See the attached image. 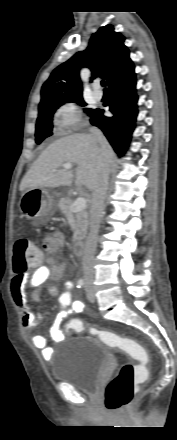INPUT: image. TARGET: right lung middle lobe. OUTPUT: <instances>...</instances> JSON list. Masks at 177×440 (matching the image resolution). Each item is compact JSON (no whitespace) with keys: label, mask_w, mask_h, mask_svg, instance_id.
<instances>
[{"label":"right lung middle lobe","mask_w":177,"mask_h":440,"mask_svg":"<svg viewBox=\"0 0 177 440\" xmlns=\"http://www.w3.org/2000/svg\"><path fill=\"white\" fill-rule=\"evenodd\" d=\"M66 102H74L82 106L86 105L82 96L63 99L49 104L39 105L36 132H35V137H36L35 141L37 144H40L45 138L52 135L53 114L61 105H63ZM92 111L93 109H89V108L85 109L86 113H90Z\"/></svg>","instance_id":"right-lung-middle-lobe-1"}]
</instances>
